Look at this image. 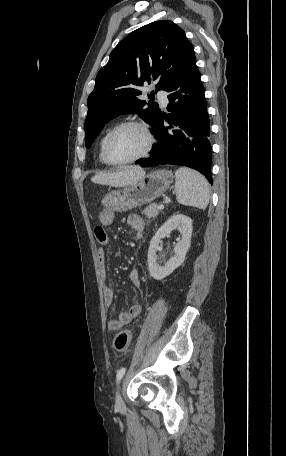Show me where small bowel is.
Returning <instances> with one entry per match:
<instances>
[{
    "label": "small bowel",
    "instance_id": "obj_1",
    "mask_svg": "<svg viewBox=\"0 0 286 456\" xmlns=\"http://www.w3.org/2000/svg\"><path fill=\"white\" fill-rule=\"evenodd\" d=\"M99 218H100L101 225L97 226L95 229L96 239L99 244L97 255H98L102 279H103V283H104V287H103L104 303H105V305L110 306L114 299V291L107 279V270H106L105 260H106V252H107V247L109 244V239H108L107 233L105 231V227H107L113 223L114 213L112 210L106 209L101 212ZM127 224L132 229H134V231L136 232V235L138 237L142 236L144 229H145V223L139 215H137V214L128 215ZM116 255L120 256V253L118 252ZM129 278L136 286L140 285V274L137 269H133L130 272ZM141 311H142V306L140 304L132 305L127 311L121 312L117 318L111 319L108 322V325H107L108 330L117 331V330L121 329L124 325L130 323L133 319L138 317L140 315Z\"/></svg>",
    "mask_w": 286,
    "mask_h": 456
}]
</instances>
